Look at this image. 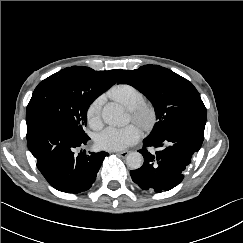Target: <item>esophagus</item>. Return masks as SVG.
<instances>
[{
	"label": "esophagus",
	"instance_id": "obj_1",
	"mask_svg": "<svg viewBox=\"0 0 243 243\" xmlns=\"http://www.w3.org/2000/svg\"><path fill=\"white\" fill-rule=\"evenodd\" d=\"M116 154L124 158L129 154V151H118Z\"/></svg>",
	"mask_w": 243,
	"mask_h": 243
}]
</instances>
